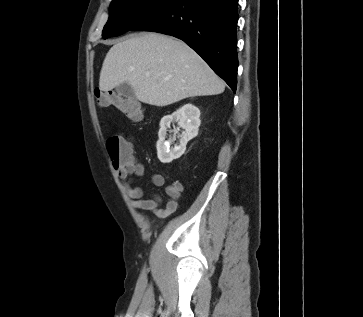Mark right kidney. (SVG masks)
Listing matches in <instances>:
<instances>
[{
  "instance_id": "1",
  "label": "right kidney",
  "mask_w": 363,
  "mask_h": 317,
  "mask_svg": "<svg viewBox=\"0 0 363 317\" xmlns=\"http://www.w3.org/2000/svg\"><path fill=\"white\" fill-rule=\"evenodd\" d=\"M200 110L188 103L171 115L164 116L160 121V130L157 141V156L162 163H170L174 159L181 157L186 150L188 141L193 139L198 134L200 126ZM172 122H177L184 129L181 134L179 145L170 148L169 141H166L167 129L170 128Z\"/></svg>"
}]
</instances>
